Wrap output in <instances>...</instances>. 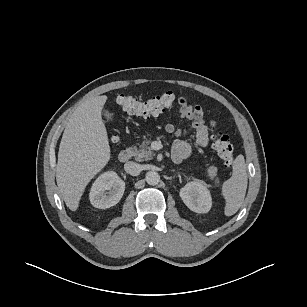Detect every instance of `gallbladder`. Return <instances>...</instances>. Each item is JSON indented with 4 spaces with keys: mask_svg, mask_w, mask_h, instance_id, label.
Wrapping results in <instances>:
<instances>
[{
    "mask_svg": "<svg viewBox=\"0 0 307 307\" xmlns=\"http://www.w3.org/2000/svg\"><path fill=\"white\" fill-rule=\"evenodd\" d=\"M103 114H104L107 121L113 120V114L109 110H104Z\"/></svg>",
    "mask_w": 307,
    "mask_h": 307,
    "instance_id": "gallbladder-1",
    "label": "gallbladder"
}]
</instances>
